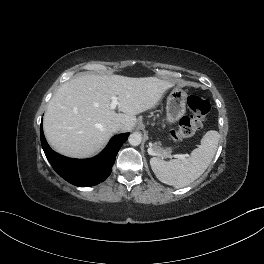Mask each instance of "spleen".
<instances>
[{"instance_id": "1", "label": "spleen", "mask_w": 264, "mask_h": 264, "mask_svg": "<svg viewBox=\"0 0 264 264\" xmlns=\"http://www.w3.org/2000/svg\"><path fill=\"white\" fill-rule=\"evenodd\" d=\"M220 135L215 130L208 131L201 139V145L188 158L170 161L153 157L150 159L155 176L162 183L175 188L185 187L198 179L208 168L218 146Z\"/></svg>"}]
</instances>
